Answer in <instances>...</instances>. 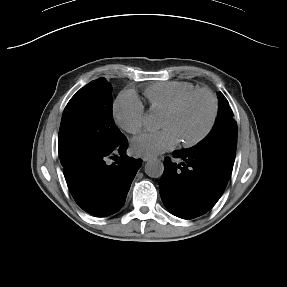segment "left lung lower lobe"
<instances>
[{"mask_svg":"<svg viewBox=\"0 0 287 287\" xmlns=\"http://www.w3.org/2000/svg\"><path fill=\"white\" fill-rule=\"evenodd\" d=\"M173 155L184 163L164 160V173L159 180L162 201L177 217L192 219L203 215L219 200L229 177L201 153L183 150Z\"/></svg>","mask_w":287,"mask_h":287,"instance_id":"left-lung-lower-lobe-1","label":"left lung lower lobe"}]
</instances>
